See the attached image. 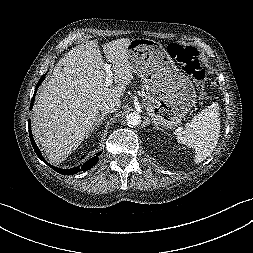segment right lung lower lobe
<instances>
[{
  "label": "right lung lower lobe",
  "instance_id": "98d812e1",
  "mask_svg": "<svg viewBox=\"0 0 253 253\" xmlns=\"http://www.w3.org/2000/svg\"><path fill=\"white\" fill-rule=\"evenodd\" d=\"M45 78V74L39 79L37 85H36V88L39 87V85L41 84V82L44 80ZM35 95H36V92H34V95H33V98L31 100V104H30V110L32 109V106H33V103H34V100H35ZM28 126H29V136H30V140H31V144L33 146V149L34 151L36 152L37 156L43 161L45 162L48 166H50L53 170H55L56 172L60 173V174H63V175H72V174H75L81 170H89L91 167H93L97 161H98V158L97 157H94L92 159H90L89 161H87L82 167L80 166H77L75 168H72V169H60V168H57L55 166H52L51 164H49L42 156L39 148L37 147L34 139H33V136H32V132H31V121L28 120ZM101 154L98 153L97 156H99Z\"/></svg>",
  "mask_w": 253,
  "mask_h": 253
}]
</instances>
